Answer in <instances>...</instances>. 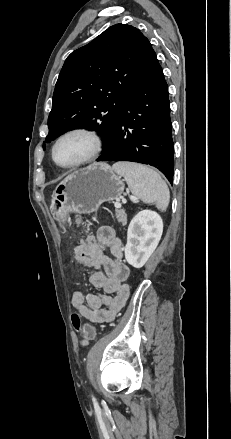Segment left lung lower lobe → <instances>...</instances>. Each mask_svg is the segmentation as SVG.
<instances>
[{"label": "left lung lower lobe", "mask_w": 231, "mask_h": 439, "mask_svg": "<svg viewBox=\"0 0 231 439\" xmlns=\"http://www.w3.org/2000/svg\"><path fill=\"white\" fill-rule=\"evenodd\" d=\"M96 161H132L159 169L173 182L174 160L168 85L152 51L128 93L103 154Z\"/></svg>", "instance_id": "0a47b994"}]
</instances>
